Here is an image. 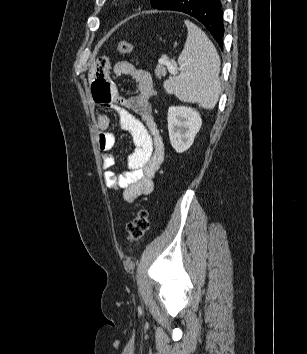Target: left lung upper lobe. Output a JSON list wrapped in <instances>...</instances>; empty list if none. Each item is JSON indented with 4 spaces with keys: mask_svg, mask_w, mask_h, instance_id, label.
<instances>
[{
    "mask_svg": "<svg viewBox=\"0 0 307 354\" xmlns=\"http://www.w3.org/2000/svg\"><path fill=\"white\" fill-rule=\"evenodd\" d=\"M170 0H151V5L153 8L160 9Z\"/></svg>",
    "mask_w": 307,
    "mask_h": 354,
    "instance_id": "obj_1",
    "label": "left lung upper lobe"
}]
</instances>
